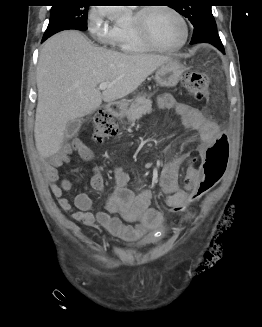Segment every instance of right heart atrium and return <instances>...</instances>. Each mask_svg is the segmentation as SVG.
<instances>
[{
  "instance_id": "d8ad5b80",
  "label": "right heart atrium",
  "mask_w": 262,
  "mask_h": 327,
  "mask_svg": "<svg viewBox=\"0 0 262 327\" xmlns=\"http://www.w3.org/2000/svg\"><path fill=\"white\" fill-rule=\"evenodd\" d=\"M87 28L93 37L102 44H115L116 29L103 7H93L87 16Z\"/></svg>"
}]
</instances>
